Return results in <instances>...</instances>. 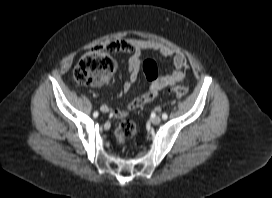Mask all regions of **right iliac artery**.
Returning a JSON list of instances; mask_svg holds the SVG:
<instances>
[{
  "label": "right iliac artery",
  "instance_id": "82829eb1",
  "mask_svg": "<svg viewBox=\"0 0 272 198\" xmlns=\"http://www.w3.org/2000/svg\"><path fill=\"white\" fill-rule=\"evenodd\" d=\"M93 116L97 117L98 116V112H94Z\"/></svg>",
  "mask_w": 272,
  "mask_h": 198
}]
</instances>
